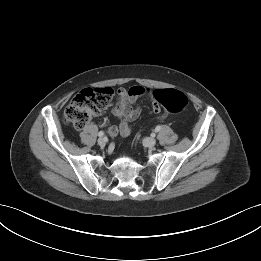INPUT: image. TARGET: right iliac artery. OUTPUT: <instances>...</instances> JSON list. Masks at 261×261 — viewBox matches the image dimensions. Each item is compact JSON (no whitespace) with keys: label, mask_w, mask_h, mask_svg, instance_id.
I'll return each instance as SVG.
<instances>
[{"label":"right iliac artery","mask_w":261,"mask_h":261,"mask_svg":"<svg viewBox=\"0 0 261 261\" xmlns=\"http://www.w3.org/2000/svg\"><path fill=\"white\" fill-rule=\"evenodd\" d=\"M98 136H99V137H103V136H104V132H103V131H100V132L98 133Z\"/></svg>","instance_id":"obj_1"}]
</instances>
